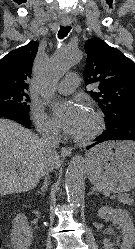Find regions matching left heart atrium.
I'll return each instance as SVG.
<instances>
[{
    "label": "left heart atrium",
    "mask_w": 135,
    "mask_h": 249,
    "mask_svg": "<svg viewBox=\"0 0 135 249\" xmlns=\"http://www.w3.org/2000/svg\"><path fill=\"white\" fill-rule=\"evenodd\" d=\"M60 125L71 135H77L86 119L87 111L79 102H60L54 107Z\"/></svg>",
    "instance_id": "1"
}]
</instances>
